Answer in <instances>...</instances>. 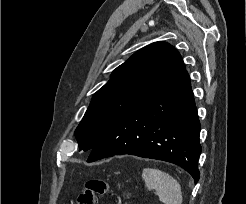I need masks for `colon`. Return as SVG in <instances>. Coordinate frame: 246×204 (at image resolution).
Here are the masks:
<instances>
[{
	"label": "colon",
	"instance_id": "obj_1",
	"mask_svg": "<svg viewBox=\"0 0 246 204\" xmlns=\"http://www.w3.org/2000/svg\"><path fill=\"white\" fill-rule=\"evenodd\" d=\"M108 190L106 181L94 178L88 180L80 192L77 204H96L99 197L103 196Z\"/></svg>",
	"mask_w": 246,
	"mask_h": 204
}]
</instances>
